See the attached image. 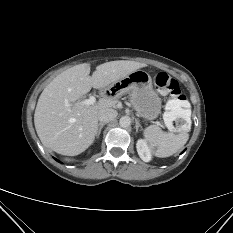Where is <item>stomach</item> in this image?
Here are the masks:
<instances>
[{"instance_id":"stomach-1","label":"stomach","mask_w":233,"mask_h":233,"mask_svg":"<svg viewBox=\"0 0 233 233\" xmlns=\"http://www.w3.org/2000/svg\"><path fill=\"white\" fill-rule=\"evenodd\" d=\"M108 89H114L117 95L129 92L134 109L145 121L156 119L161 112V99L153 88L151 76L144 70L130 72Z\"/></svg>"}]
</instances>
